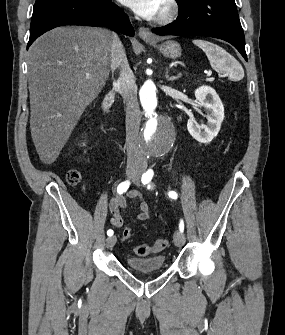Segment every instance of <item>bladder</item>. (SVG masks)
I'll return each instance as SVG.
<instances>
[{
	"label": "bladder",
	"instance_id": "1",
	"mask_svg": "<svg viewBox=\"0 0 285 335\" xmlns=\"http://www.w3.org/2000/svg\"><path fill=\"white\" fill-rule=\"evenodd\" d=\"M125 258H127V265H132L134 273H160L158 266L163 265V258L167 257L163 253H155L152 256H125Z\"/></svg>",
	"mask_w": 285,
	"mask_h": 335
}]
</instances>
